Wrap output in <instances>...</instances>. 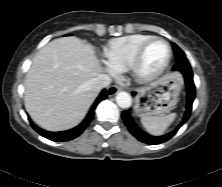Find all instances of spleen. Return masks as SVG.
Instances as JSON below:
<instances>
[{"mask_svg":"<svg viewBox=\"0 0 222 187\" xmlns=\"http://www.w3.org/2000/svg\"><path fill=\"white\" fill-rule=\"evenodd\" d=\"M176 118V113L159 116H144L141 118L143 127L152 135H162Z\"/></svg>","mask_w":222,"mask_h":187,"instance_id":"3e777b00","label":"spleen"}]
</instances>
